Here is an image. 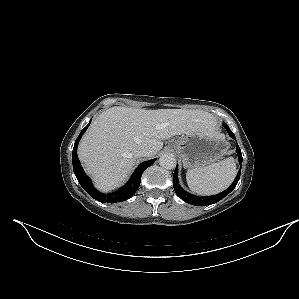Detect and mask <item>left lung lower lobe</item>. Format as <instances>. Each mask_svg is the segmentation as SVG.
<instances>
[{"instance_id":"1","label":"left lung lower lobe","mask_w":299,"mask_h":299,"mask_svg":"<svg viewBox=\"0 0 299 299\" xmlns=\"http://www.w3.org/2000/svg\"><path fill=\"white\" fill-rule=\"evenodd\" d=\"M223 126L228 131L229 136L232 137L234 140H236L235 135L232 133V131L230 130L228 125L224 123ZM236 152L238 154L239 163H240V165H242V154H241V150H240L238 144H237V147H236ZM177 170H178V168L176 166V169H175L174 174H173V187H174V190H175L176 194L182 200H184L185 202H187L189 204L195 205V206L211 205V204L217 203L218 201L223 199L225 196H227L236 187V185L239 181V178H240V173H241V167H240V170L237 174V177L235 178V180L233 181L231 186L229 188H227L225 191H223L219 194L213 195V196L198 197V196H194L190 193L185 192L179 186L178 178H177Z\"/></svg>"}]
</instances>
